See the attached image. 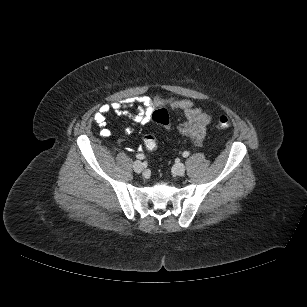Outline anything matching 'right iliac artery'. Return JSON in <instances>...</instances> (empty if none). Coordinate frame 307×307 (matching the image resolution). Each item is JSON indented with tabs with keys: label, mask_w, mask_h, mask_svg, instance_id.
<instances>
[{
	"label": "right iliac artery",
	"mask_w": 307,
	"mask_h": 307,
	"mask_svg": "<svg viewBox=\"0 0 307 307\" xmlns=\"http://www.w3.org/2000/svg\"><path fill=\"white\" fill-rule=\"evenodd\" d=\"M136 158L142 160L145 158V156L143 154H137Z\"/></svg>",
	"instance_id": "1"
}]
</instances>
